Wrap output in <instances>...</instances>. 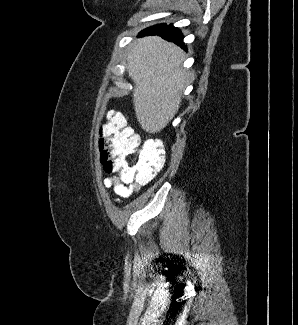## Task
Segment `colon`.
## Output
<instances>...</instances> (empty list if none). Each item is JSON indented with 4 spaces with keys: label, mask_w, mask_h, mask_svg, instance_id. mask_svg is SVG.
<instances>
[{
    "label": "colon",
    "mask_w": 298,
    "mask_h": 325,
    "mask_svg": "<svg viewBox=\"0 0 298 325\" xmlns=\"http://www.w3.org/2000/svg\"><path fill=\"white\" fill-rule=\"evenodd\" d=\"M140 146V137L126 123L123 115L111 112L99 129L100 161L121 184L142 185L151 181L164 166L161 152L150 145Z\"/></svg>",
    "instance_id": "obj_1"
}]
</instances>
